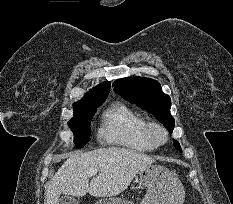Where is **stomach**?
<instances>
[{
	"label": "stomach",
	"mask_w": 233,
	"mask_h": 204,
	"mask_svg": "<svg viewBox=\"0 0 233 204\" xmlns=\"http://www.w3.org/2000/svg\"><path fill=\"white\" fill-rule=\"evenodd\" d=\"M139 184L147 188L140 204H183L185 191L178 177L167 168L150 164L138 172ZM97 204H134L124 199H103Z\"/></svg>",
	"instance_id": "1"
}]
</instances>
